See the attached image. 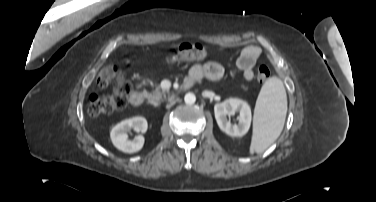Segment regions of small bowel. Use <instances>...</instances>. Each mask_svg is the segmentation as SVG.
<instances>
[{
	"instance_id": "c3829d8e",
	"label": "small bowel",
	"mask_w": 376,
	"mask_h": 202,
	"mask_svg": "<svg viewBox=\"0 0 376 202\" xmlns=\"http://www.w3.org/2000/svg\"><path fill=\"white\" fill-rule=\"evenodd\" d=\"M260 55L261 50L256 46H248L241 51L237 59V66L243 72L245 80L249 81L253 78L252 68ZM223 73L222 66L217 62H207L203 65L195 64L190 67L185 82L192 85L203 77L216 81L221 79Z\"/></svg>"
}]
</instances>
